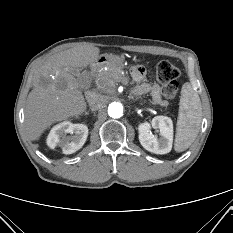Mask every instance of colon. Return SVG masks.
<instances>
[{
	"label": "colon",
	"instance_id": "colon-1",
	"mask_svg": "<svg viewBox=\"0 0 233 233\" xmlns=\"http://www.w3.org/2000/svg\"><path fill=\"white\" fill-rule=\"evenodd\" d=\"M156 78L163 83L162 94L167 99L175 98L178 92L177 79L180 70L169 61H160L155 66Z\"/></svg>",
	"mask_w": 233,
	"mask_h": 233
}]
</instances>
